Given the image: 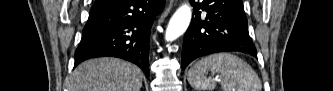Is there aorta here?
<instances>
[{
    "instance_id": "aorta-1",
    "label": "aorta",
    "mask_w": 333,
    "mask_h": 91,
    "mask_svg": "<svg viewBox=\"0 0 333 91\" xmlns=\"http://www.w3.org/2000/svg\"><path fill=\"white\" fill-rule=\"evenodd\" d=\"M191 16L192 12L189 4H184L179 7L169 21L166 29L165 40L171 42L181 36L188 28Z\"/></svg>"
}]
</instances>
